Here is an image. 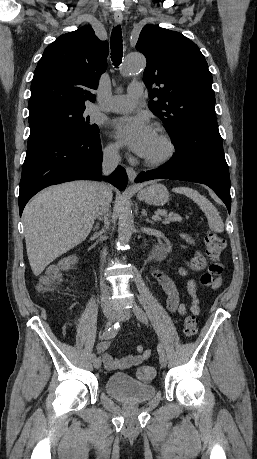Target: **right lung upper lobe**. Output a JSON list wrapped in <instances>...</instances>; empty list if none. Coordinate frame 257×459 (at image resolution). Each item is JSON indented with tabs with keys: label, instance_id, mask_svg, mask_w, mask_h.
I'll use <instances>...</instances> for the list:
<instances>
[{
	"label": "right lung upper lobe",
	"instance_id": "1",
	"mask_svg": "<svg viewBox=\"0 0 257 459\" xmlns=\"http://www.w3.org/2000/svg\"><path fill=\"white\" fill-rule=\"evenodd\" d=\"M108 42L91 26L61 35L44 51L31 83L29 110L50 106L85 107L107 67Z\"/></svg>",
	"mask_w": 257,
	"mask_h": 459
}]
</instances>
